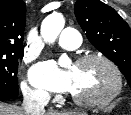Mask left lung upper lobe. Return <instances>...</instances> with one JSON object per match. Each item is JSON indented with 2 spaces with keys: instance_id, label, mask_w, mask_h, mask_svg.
Wrapping results in <instances>:
<instances>
[{
  "instance_id": "5c2ea615",
  "label": "left lung upper lobe",
  "mask_w": 131,
  "mask_h": 115,
  "mask_svg": "<svg viewBox=\"0 0 131 115\" xmlns=\"http://www.w3.org/2000/svg\"><path fill=\"white\" fill-rule=\"evenodd\" d=\"M74 13L91 44L119 67L131 86V30L128 24L100 0H77Z\"/></svg>"
}]
</instances>
